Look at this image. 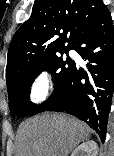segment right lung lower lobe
Instances as JSON below:
<instances>
[{
    "mask_svg": "<svg viewBox=\"0 0 114 156\" xmlns=\"http://www.w3.org/2000/svg\"><path fill=\"white\" fill-rule=\"evenodd\" d=\"M72 49L88 61V69L75 65L63 90L46 110L76 116L104 142L114 92V26L107 8L78 37Z\"/></svg>",
    "mask_w": 114,
    "mask_h": 156,
    "instance_id": "1",
    "label": "right lung lower lobe"
}]
</instances>
